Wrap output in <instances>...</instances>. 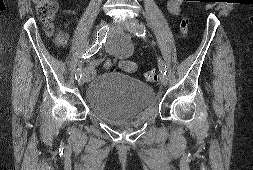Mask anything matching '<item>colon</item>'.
Here are the masks:
<instances>
[{
  "label": "colon",
  "instance_id": "5ec220e1",
  "mask_svg": "<svg viewBox=\"0 0 253 170\" xmlns=\"http://www.w3.org/2000/svg\"><path fill=\"white\" fill-rule=\"evenodd\" d=\"M194 1V0H188ZM33 3L36 7L37 14L40 20L46 24V30L48 33L52 34L53 29L51 26L52 21L54 20L57 10L58 4L56 0H33ZM180 32L183 36H186L189 32V20L188 18H183L180 22ZM56 41L59 45H63L65 43V37L63 34H56ZM145 78L149 82H156L158 80V73L154 70H150L146 72Z\"/></svg>",
  "mask_w": 253,
  "mask_h": 170
}]
</instances>
